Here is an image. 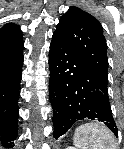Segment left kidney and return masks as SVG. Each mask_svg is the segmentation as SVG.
<instances>
[{
    "label": "left kidney",
    "instance_id": "obj_1",
    "mask_svg": "<svg viewBox=\"0 0 124 149\" xmlns=\"http://www.w3.org/2000/svg\"><path fill=\"white\" fill-rule=\"evenodd\" d=\"M67 149H74V147H67Z\"/></svg>",
    "mask_w": 124,
    "mask_h": 149
}]
</instances>
